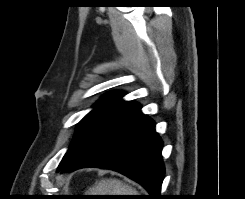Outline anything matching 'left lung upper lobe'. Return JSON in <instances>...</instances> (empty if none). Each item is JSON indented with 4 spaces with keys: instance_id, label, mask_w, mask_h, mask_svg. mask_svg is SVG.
<instances>
[{
    "instance_id": "5c2ea615",
    "label": "left lung upper lobe",
    "mask_w": 245,
    "mask_h": 199,
    "mask_svg": "<svg viewBox=\"0 0 245 199\" xmlns=\"http://www.w3.org/2000/svg\"><path fill=\"white\" fill-rule=\"evenodd\" d=\"M123 96L124 93L121 92L108 93L94 105V110L79 122L75 137L60 162L57 172L68 168L101 129L134 103L123 101L121 99Z\"/></svg>"
}]
</instances>
